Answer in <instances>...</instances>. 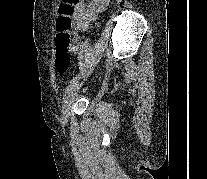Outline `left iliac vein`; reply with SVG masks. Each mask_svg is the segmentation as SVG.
<instances>
[{"instance_id":"1","label":"left iliac vein","mask_w":207,"mask_h":179,"mask_svg":"<svg viewBox=\"0 0 207 179\" xmlns=\"http://www.w3.org/2000/svg\"><path fill=\"white\" fill-rule=\"evenodd\" d=\"M83 81L81 82H77L72 89L68 92L67 96L63 99V103H62V115L63 118L65 120L68 119L69 117V109H70V105L74 99V97L76 96L79 88L81 87Z\"/></svg>"}]
</instances>
